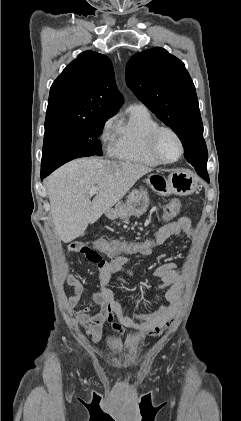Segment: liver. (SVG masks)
<instances>
[{
  "label": "liver",
  "instance_id": "liver-1",
  "mask_svg": "<svg viewBox=\"0 0 241 421\" xmlns=\"http://www.w3.org/2000/svg\"><path fill=\"white\" fill-rule=\"evenodd\" d=\"M152 168L99 158L75 159L47 179L51 216L58 238L71 242L110 210ZM98 192L90 200L89 190Z\"/></svg>",
  "mask_w": 241,
  "mask_h": 421
}]
</instances>
